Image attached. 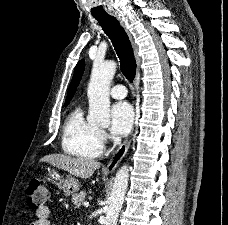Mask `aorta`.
Segmentation results:
<instances>
[{
  "instance_id": "762f6f07",
  "label": "aorta",
  "mask_w": 228,
  "mask_h": 225,
  "mask_svg": "<svg viewBox=\"0 0 228 225\" xmlns=\"http://www.w3.org/2000/svg\"><path fill=\"white\" fill-rule=\"evenodd\" d=\"M115 60L105 62H93V68L88 84L89 125L109 127L110 119V82L116 72ZM129 167H120L113 183V189L109 197V205L106 211L104 225H117L119 211L124 203L126 189L128 187Z\"/></svg>"
}]
</instances>
